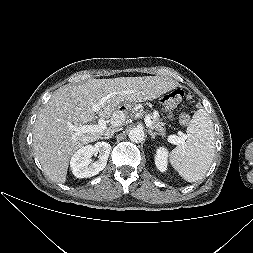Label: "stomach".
Wrapping results in <instances>:
<instances>
[{
  "mask_svg": "<svg viewBox=\"0 0 253 253\" xmlns=\"http://www.w3.org/2000/svg\"><path fill=\"white\" fill-rule=\"evenodd\" d=\"M168 102V94L161 97V100L155 102V107L159 113H164L166 111V105ZM118 109L121 114H126L132 110V102L128 98H123L118 104Z\"/></svg>",
  "mask_w": 253,
  "mask_h": 253,
  "instance_id": "1",
  "label": "stomach"
}]
</instances>
